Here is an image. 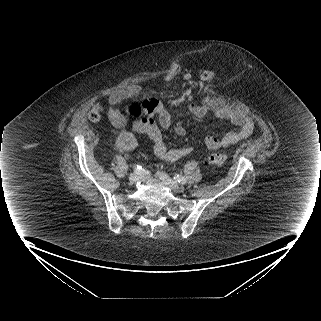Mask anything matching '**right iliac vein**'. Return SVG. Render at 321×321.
<instances>
[{
	"instance_id": "63e3f726",
	"label": "right iliac vein",
	"mask_w": 321,
	"mask_h": 321,
	"mask_svg": "<svg viewBox=\"0 0 321 321\" xmlns=\"http://www.w3.org/2000/svg\"><path fill=\"white\" fill-rule=\"evenodd\" d=\"M139 179H140V176L138 173H134L129 176V182L131 184H135Z\"/></svg>"
}]
</instances>
